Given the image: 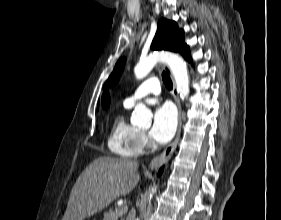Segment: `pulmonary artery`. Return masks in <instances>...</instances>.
<instances>
[{"label":"pulmonary artery","instance_id":"pulmonary-artery-1","mask_svg":"<svg viewBox=\"0 0 281 220\" xmlns=\"http://www.w3.org/2000/svg\"><path fill=\"white\" fill-rule=\"evenodd\" d=\"M160 93V81L157 77H151L140 84L135 91L128 96L124 103L128 106H133L137 101L150 96L158 95Z\"/></svg>","mask_w":281,"mask_h":220}]
</instances>
